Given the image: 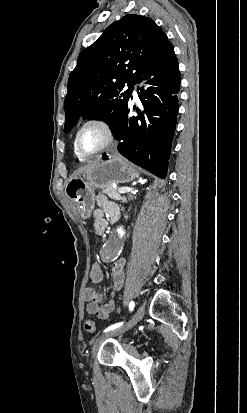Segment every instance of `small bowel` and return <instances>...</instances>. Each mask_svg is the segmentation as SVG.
<instances>
[{"label":"small bowel","mask_w":247,"mask_h":413,"mask_svg":"<svg viewBox=\"0 0 247 413\" xmlns=\"http://www.w3.org/2000/svg\"><path fill=\"white\" fill-rule=\"evenodd\" d=\"M97 208L93 212V227L98 233L106 228L108 222H116L120 217V208L118 204L111 201L105 195H98L96 198ZM125 258L117 260L111 269L113 287L111 291L112 299L101 305L103 294L96 289H85L84 299L87 301V312L96 315L102 320L109 318L112 312L117 310L114 297L122 289L125 280ZM104 278V277H103ZM100 283V282H96Z\"/></svg>","instance_id":"small-bowel-1"}]
</instances>
